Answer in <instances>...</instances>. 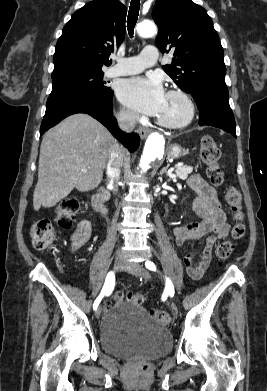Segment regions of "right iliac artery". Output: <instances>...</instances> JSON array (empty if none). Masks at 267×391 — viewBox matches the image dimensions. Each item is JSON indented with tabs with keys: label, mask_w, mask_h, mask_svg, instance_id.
Listing matches in <instances>:
<instances>
[{
	"label": "right iliac artery",
	"mask_w": 267,
	"mask_h": 391,
	"mask_svg": "<svg viewBox=\"0 0 267 391\" xmlns=\"http://www.w3.org/2000/svg\"><path fill=\"white\" fill-rule=\"evenodd\" d=\"M114 285H115V276L112 272H109L106 277L103 289L93 304L94 310L97 309V307H98L100 301L102 300V298L104 297V295H109L112 292Z\"/></svg>",
	"instance_id": "1"
}]
</instances>
